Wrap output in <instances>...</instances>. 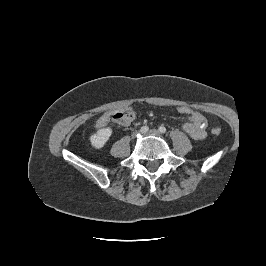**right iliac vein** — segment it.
Here are the masks:
<instances>
[{
	"label": "right iliac vein",
	"instance_id": "63e3f726",
	"mask_svg": "<svg viewBox=\"0 0 266 266\" xmlns=\"http://www.w3.org/2000/svg\"><path fill=\"white\" fill-rule=\"evenodd\" d=\"M137 134H138L137 132H133L132 133V138L135 139L137 137Z\"/></svg>",
	"mask_w": 266,
	"mask_h": 266
}]
</instances>
